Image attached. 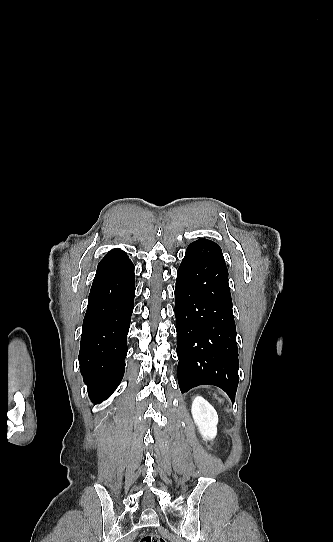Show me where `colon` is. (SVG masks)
I'll return each instance as SVG.
<instances>
[{"label":"colon","instance_id":"5ec220e1","mask_svg":"<svg viewBox=\"0 0 333 542\" xmlns=\"http://www.w3.org/2000/svg\"><path fill=\"white\" fill-rule=\"evenodd\" d=\"M139 542H165V540L155 533H147L140 537Z\"/></svg>","mask_w":333,"mask_h":542}]
</instances>
